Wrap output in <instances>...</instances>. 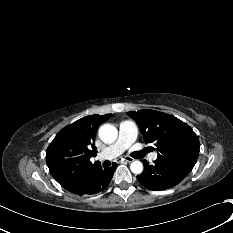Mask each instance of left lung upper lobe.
I'll use <instances>...</instances> for the list:
<instances>
[{"label": "left lung upper lobe", "instance_id": "left-lung-upper-lobe-1", "mask_svg": "<svg viewBox=\"0 0 233 233\" xmlns=\"http://www.w3.org/2000/svg\"><path fill=\"white\" fill-rule=\"evenodd\" d=\"M137 123L145 143L158 150L157 160L185 174L193 169L199 155V139L194 131L178 118L155 110L127 112Z\"/></svg>", "mask_w": 233, "mask_h": 233}]
</instances>
